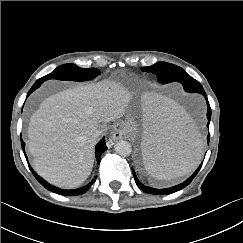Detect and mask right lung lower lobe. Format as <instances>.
I'll return each mask as SVG.
<instances>
[{
	"instance_id": "right-lung-lower-lobe-1",
	"label": "right lung lower lobe",
	"mask_w": 243,
	"mask_h": 243,
	"mask_svg": "<svg viewBox=\"0 0 243 243\" xmlns=\"http://www.w3.org/2000/svg\"><path fill=\"white\" fill-rule=\"evenodd\" d=\"M42 83L41 82H36L32 88L30 89L28 95H30L34 90H36L38 87H40ZM21 144H22V149H23V152H24V155L27 159V156L25 154V151H24V147H25V143L23 142V140L21 139ZM107 150V146L105 144V139L102 138L101 141L96 145L95 147V156H96V160H97V163H100V159H101V155L104 151ZM29 168L31 170V172L33 173V175L35 176V178L37 179V181L43 186L45 187L46 189L52 191V192H55L57 194H60V195H64V196H76V195H80V194H83L85 193L90 187L91 185L95 182L96 180V177L89 183L87 184L86 186L84 187H81L79 189H74V190H64V189H60L58 187H55L51 184H49L48 182H46L44 179H42L32 168L31 166L29 165Z\"/></svg>"
}]
</instances>
